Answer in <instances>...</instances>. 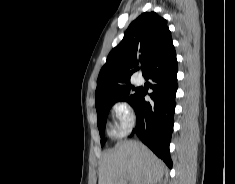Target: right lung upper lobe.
<instances>
[{"label":"right lung upper lobe","instance_id":"obj_1","mask_svg":"<svg viewBox=\"0 0 235 184\" xmlns=\"http://www.w3.org/2000/svg\"><path fill=\"white\" fill-rule=\"evenodd\" d=\"M175 52L166 20L155 12L142 13L128 27L123 40L109 53L100 70L96 107L111 103V90L130 85L141 64L143 76Z\"/></svg>","mask_w":235,"mask_h":184}]
</instances>
